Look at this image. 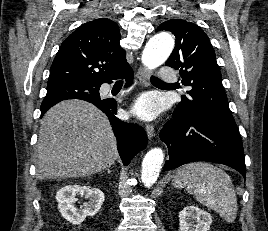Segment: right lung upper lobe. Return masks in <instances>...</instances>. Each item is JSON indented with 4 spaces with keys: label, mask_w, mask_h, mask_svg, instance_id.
<instances>
[{
    "label": "right lung upper lobe",
    "mask_w": 268,
    "mask_h": 231,
    "mask_svg": "<svg viewBox=\"0 0 268 231\" xmlns=\"http://www.w3.org/2000/svg\"><path fill=\"white\" fill-rule=\"evenodd\" d=\"M116 22L100 18L77 28L64 40L50 68L48 84L76 81L100 87L128 65ZM58 103L46 101L41 111Z\"/></svg>",
    "instance_id": "obj_1"
}]
</instances>
